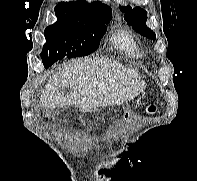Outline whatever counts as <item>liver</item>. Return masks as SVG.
<instances>
[{
    "label": "liver",
    "instance_id": "obj_1",
    "mask_svg": "<svg viewBox=\"0 0 197 181\" xmlns=\"http://www.w3.org/2000/svg\"><path fill=\"white\" fill-rule=\"evenodd\" d=\"M72 92L66 97L64 89ZM145 88L138 73L109 58L73 60L52 76L40 101L43 107L53 109L75 105L83 112H92L99 106L121 105L134 99Z\"/></svg>",
    "mask_w": 197,
    "mask_h": 181
}]
</instances>
